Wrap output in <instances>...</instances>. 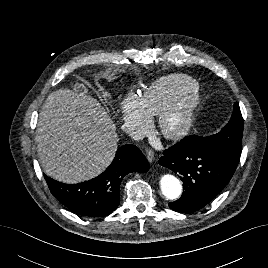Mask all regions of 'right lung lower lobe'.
<instances>
[{"mask_svg": "<svg viewBox=\"0 0 268 268\" xmlns=\"http://www.w3.org/2000/svg\"><path fill=\"white\" fill-rule=\"evenodd\" d=\"M149 163L134 145L120 147L111 165L96 178L64 184L44 175L51 193L68 209L81 216H105L120 203V183L131 172H147Z\"/></svg>", "mask_w": 268, "mask_h": 268, "instance_id": "obj_1", "label": "right lung lower lobe"}]
</instances>
